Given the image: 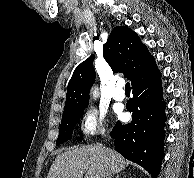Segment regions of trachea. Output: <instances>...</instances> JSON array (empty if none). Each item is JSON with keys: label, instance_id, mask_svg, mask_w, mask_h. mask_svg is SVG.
I'll list each match as a JSON object with an SVG mask.
<instances>
[{"label": "trachea", "instance_id": "trachea-1", "mask_svg": "<svg viewBox=\"0 0 194 178\" xmlns=\"http://www.w3.org/2000/svg\"><path fill=\"white\" fill-rule=\"evenodd\" d=\"M125 91L126 92H130L131 91V87H130V83L127 82L126 85H125Z\"/></svg>", "mask_w": 194, "mask_h": 178}]
</instances>
